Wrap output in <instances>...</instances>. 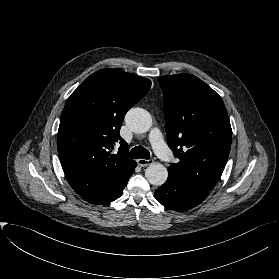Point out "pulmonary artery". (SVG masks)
<instances>
[{"label":"pulmonary artery","instance_id":"e3ab8cb5","mask_svg":"<svg viewBox=\"0 0 279 279\" xmlns=\"http://www.w3.org/2000/svg\"><path fill=\"white\" fill-rule=\"evenodd\" d=\"M150 143L155 153L164 161H170L173 157L172 152L163 141L161 132L158 128H154L149 137Z\"/></svg>","mask_w":279,"mask_h":279}]
</instances>
